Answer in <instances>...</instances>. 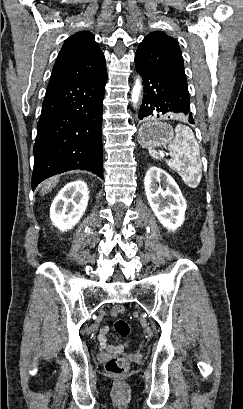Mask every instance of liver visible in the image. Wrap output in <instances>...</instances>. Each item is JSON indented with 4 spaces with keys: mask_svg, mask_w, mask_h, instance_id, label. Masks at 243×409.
Segmentation results:
<instances>
[{
    "mask_svg": "<svg viewBox=\"0 0 243 409\" xmlns=\"http://www.w3.org/2000/svg\"><path fill=\"white\" fill-rule=\"evenodd\" d=\"M58 179H59V177L55 176V177H52L49 180L45 181L43 183L41 191H40L41 194L44 195V194L48 193L49 191H51L52 188H54L56 186V184L58 182Z\"/></svg>",
    "mask_w": 243,
    "mask_h": 409,
    "instance_id": "obj_1",
    "label": "liver"
}]
</instances>
